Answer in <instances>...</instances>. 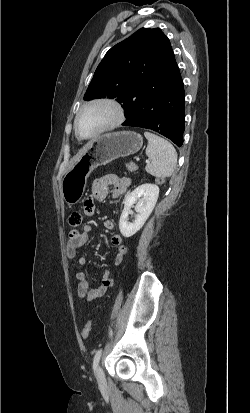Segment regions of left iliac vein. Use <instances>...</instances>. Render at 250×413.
<instances>
[{
    "label": "left iliac vein",
    "mask_w": 250,
    "mask_h": 413,
    "mask_svg": "<svg viewBox=\"0 0 250 413\" xmlns=\"http://www.w3.org/2000/svg\"><path fill=\"white\" fill-rule=\"evenodd\" d=\"M96 376H97V381L99 385H103L105 382V377H104V373L101 369V367H98L96 369Z\"/></svg>",
    "instance_id": "1"
}]
</instances>
